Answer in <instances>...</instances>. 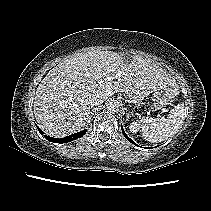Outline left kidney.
<instances>
[{
    "label": "left kidney",
    "mask_w": 211,
    "mask_h": 211,
    "mask_svg": "<svg viewBox=\"0 0 211 211\" xmlns=\"http://www.w3.org/2000/svg\"><path fill=\"white\" fill-rule=\"evenodd\" d=\"M139 125L140 123L137 121H133L132 123L129 124V130L131 133L136 134L139 130Z\"/></svg>",
    "instance_id": "left-kidney-1"
}]
</instances>
